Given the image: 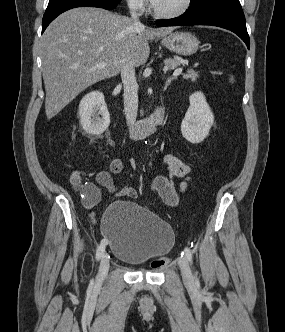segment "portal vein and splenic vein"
Instances as JSON below:
<instances>
[{
    "label": "portal vein and splenic vein",
    "mask_w": 285,
    "mask_h": 332,
    "mask_svg": "<svg viewBox=\"0 0 285 332\" xmlns=\"http://www.w3.org/2000/svg\"><path fill=\"white\" fill-rule=\"evenodd\" d=\"M106 66V63H99L97 64V68H104ZM182 73V68H178L174 71L173 76H178Z\"/></svg>",
    "instance_id": "18ae733b"
}]
</instances>
